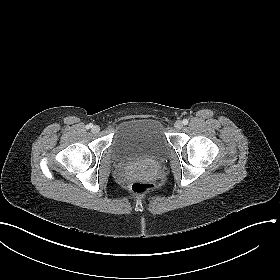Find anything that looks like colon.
Wrapping results in <instances>:
<instances>
[{"instance_id":"colon-1","label":"colon","mask_w":280,"mask_h":280,"mask_svg":"<svg viewBox=\"0 0 280 280\" xmlns=\"http://www.w3.org/2000/svg\"><path fill=\"white\" fill-rule=\"evenodd\" d=\"M153 189L154 186L151 183L141 178L134 179L130 185V190L135 195H144Z\"/></svg>"}]
</instances>
